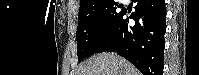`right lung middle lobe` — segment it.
Instances as JSON below:
<instances>
[{"label": "right lung middle lobe", "instance_id": "right-lung-middle-lobe-1", "mask_svg": "<svg viewBox=\"0 0 199 75\" xmlns=\"http://www.w3.org/2000/svg\"><path fill=\"white\" fill-rule=\"evenodd\" d=\"M118 7L112 0L79 14L76 32L79 61L96 53L108 40L123 13V10L116 11Z\"/></svg>", "mask_w": 199, "mask_h": 75}]
</instances>
